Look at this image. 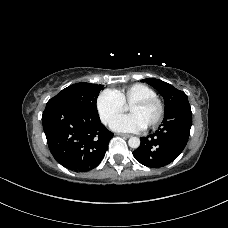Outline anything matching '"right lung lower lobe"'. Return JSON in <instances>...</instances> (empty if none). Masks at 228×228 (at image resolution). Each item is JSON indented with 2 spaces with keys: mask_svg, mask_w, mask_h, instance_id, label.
<instances>
[{
  "mask_svg": "<svg viewBox=\"0 0 228 228\" xmlns=\"http://www.w3.org/2000/svg\"><path fill=\"white\" fill-rule=\"evenodd\" d=\"M42 123L51 154L75 172H87L100 164L113 137L98 114L63 102H48Z\"/></svg>",
  "mask_w": 228,
  "mask_h": 228,
  "instance_id": "1",
  "label": "right lung lower lobe"
}]
</instances>
